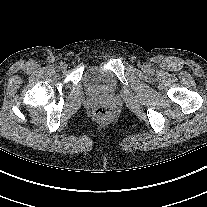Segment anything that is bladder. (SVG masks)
Returning <instances> with one entry per match:
<instances>
[{"instance_id": "1", "label": "bladder", "mask_w": 207, "mask_h": 207, "mask_svg": "<svg viewBox=\"0 0 207 207\" xmlns=\"http://www.w3.org/2000/svg\"><path fill=\"white\" fill-rule=\"evenodd\" d=\"M86 88L93 93L108 92L113 87L111 74L98 66L90 67L84 78Z\"/></svg>"}]
</instances>
